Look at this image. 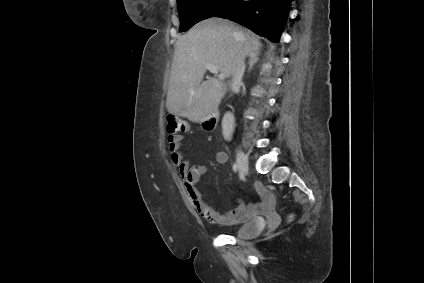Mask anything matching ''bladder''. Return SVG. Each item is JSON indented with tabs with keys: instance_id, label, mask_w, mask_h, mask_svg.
I'll list each match as a JSON object with an SVG mask.
<instances>
[{
	"instance_id": "obj_1",
	"label": "bladder",
	"mask_w": 424,
	"mask_h": 283,
	"mask_svg": "<svg viewBox=\"0 0 424 283\" xmlns=\"http://www.w3.org/2000/svg\"><path fill=\"white\" fill-rule=\"evenodd\" d=\"M264 228V221L260 218H252L234 231L239 239H251L258 236Z\"/></svg>"
}]
</instances>
